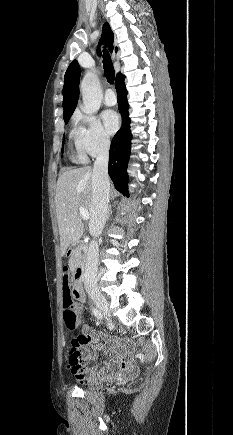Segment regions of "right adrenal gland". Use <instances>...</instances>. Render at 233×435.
<instances>
[{
  "mask_svg": "<svg viewBox=\"0 0 233 435\" xmlns=\"http://www.w3.org/2000/svg\"><path fill=\"white\" fill-rule=\"evenodd\" d=\"M111 215H112V207L109 206L107 220H109Z\"/></svg>",
  "mask_w": 233,
  "mask_h": 435,
  "instance_id": "2a0ac1e0",
  "label": "right adrenal gland"
}]
</instances>
